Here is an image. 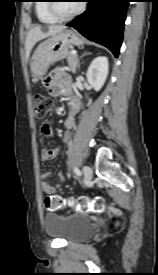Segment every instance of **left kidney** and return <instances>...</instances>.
Here are the masks:
<instances>
[{"label": "left kidney", "mask_w": 158, "mask_h": 275, "mask_svg": "<svg viewBox=\"0 0 158 275\" xmlns=\"http://www.w3.org/2000/svg\"><path fill=\"white\" fill-rule=\"evenodd\" d=\"M108 70V59L105 56L96 57L90 64L86 76L95 91L98 92L103 87L107 79Z\"/></svg>", "instance_id": "obj_1"}]
</instances>
